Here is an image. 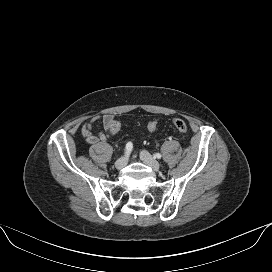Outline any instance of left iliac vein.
Masks as SVG:
<instances>
[{
  "label": "left iliac vein",
  "instance_id": "obj_1",
  "mask_svg": "<svg viewBox=\"0 0 272 272\" xmlns=\"http://www.w3.org/2000/svg\"><path fill=\"white\" fill-rule=\"evenodd\" d=\"M140 158L141 160L148 165L151 169H153L154 171H159L160 169V164L157 160H155L150 153H148L147 151L143 150L140 152Z\"/></svg>",
  "mask_w": 272,
  "mask_h": 272
}]
</instances>
